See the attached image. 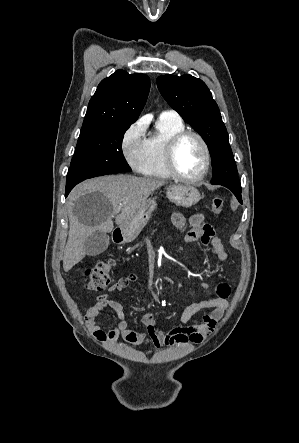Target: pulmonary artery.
<instances>
[{
	"instance_id": "e3ab8cb5",
	"label": "pulmonary artery",
	"mask_w": 299,
	"mask_h": 443,
	"mask_svg": "<svg viewBox=\"0 0 299 443\" xmlns=\"http://www.w3.org/2000/svg\"><path fill=\"white\" fill-rule=\"evenodd\" d=\"M160 117H174V118H179V115L173 111V110H167V111H163L160 114Z\"/></svg>"
}]
</instances>
